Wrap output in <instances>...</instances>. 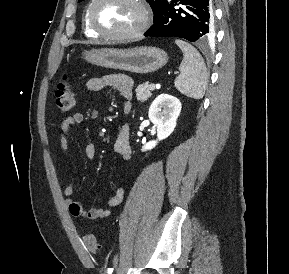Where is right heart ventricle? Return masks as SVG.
I'll list each match as a JSON object with an SVG mask.
<instances>
[{
	"instance_id": "e07e8e85",
	"label": "right heart ventricle",
	"mask_w": 289,
	"mask_h": 274,
	"mask_svg": "<svg viewBox=\"0 0 289 274\" xmlns=\"http://www.w3.org/2000/svg\"><path fill=\"white\" fill-rule=\"evenodd\" d=\"M87 10H88V7L86 8L84 15H83V29L87 36L96 38L99 35L95 33L89 26L88 19H87Z\"/></svg>"
}]
</instances>
